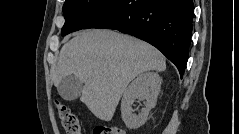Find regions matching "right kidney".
I'll list each match as a JSON object with an SVG mask.
<instances>
[{
    "mask_svg": "<svg viewBox=\"0 0 239 134\" xmlns=\"http://www.w3.org/2000/svg\"><path fill=\"white\" fill-rule=\"evenodd\" d=\"M162 79L156 72L140 74L125 89L121 101V115L124 123L130 129L142 126L149 115V111L156 105ZM136 99L145 100V107L139 114H135L132 105Z\"/></svg>",
    "mask_w": 239,
    "mask_h": 134,
    "instance_id": "right-kidney-1",
    "label": "right kidney"
}]
</instances>
